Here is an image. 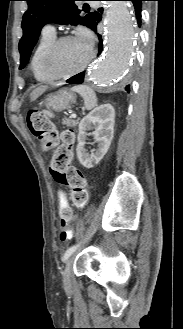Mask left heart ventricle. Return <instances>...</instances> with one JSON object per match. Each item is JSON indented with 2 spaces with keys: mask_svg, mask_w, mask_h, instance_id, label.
I'll return each instance as SVG.
<instances>
[{
  "mask_svg": "<svg viewBox=\"0 0 183 329\" xmlns=\"http://www.w3.org/2000/svg\"><path fill=\"white\" fill-rule=\"evenodd\" d=\"M90 48L74 38L65 41L58 49L54 60L53 70L56 73H67L81 67L87 60Z\"/></svg>",
  "mask_w": 183,
  "mask_h": 329,
  "instance_id": "b2bd125f",
  "label": "left heart ventricle"
}]
</instances>
